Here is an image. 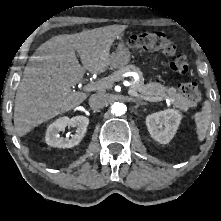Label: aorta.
<instances>
[{"instance_id":"1","label":"aorta","mask_w":221,"mask_h":221,"mask_svg":"<svg viewBox=\"0 0 221 221\" xmlns=\"http://www.w3.org/2000/svg\"><path fill=\"white\" fill-rule=\"evenodd\" d=\"M127 110V106L124 103L116 102L111 107V112L115 116L123 115Z\"/></svg>"}]
</instances>
